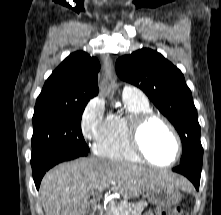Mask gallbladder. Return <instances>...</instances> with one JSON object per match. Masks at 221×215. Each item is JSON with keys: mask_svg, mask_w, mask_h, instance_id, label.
I'll use <instances>...</instances> for the list:
<instances>
[{"mask_svg": "<svg viewBox=\"0 0 221 215\" xmlns=\"http://www.w3.org/2000/svg\"><path fill=\"white\" fill-rule=\"evenodd\" d=\"M93 210V203H90L89 206L87 207L84 215H91Z\"/></svg>", "mask_w": 221, "mask_h": 215, "instance_id": "obj_1", "label": "gallbladder"}]
</instances>
